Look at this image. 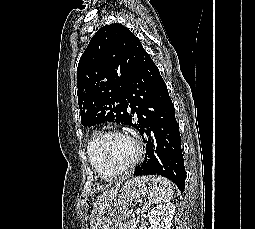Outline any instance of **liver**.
<instances>
[{
    "label": "liver",
    "instance_id": "obj_1",
    "mask_svg": "<svg viewBox=\"0 0 255 229\" xmlns=\"http://www.w3.org/2000/svg\"><path fill=\"white\" fill-rule=\"evenodd\" d=\"M119 188L120 183H117L113 188L103 192V194L98 197L97 201L94 204L92 216L95 215L102 208H104L111 200H113L117 196Z\"/></svg>",
    "mask_w": 255,
    "mask_h": 229
}]
</instances>
